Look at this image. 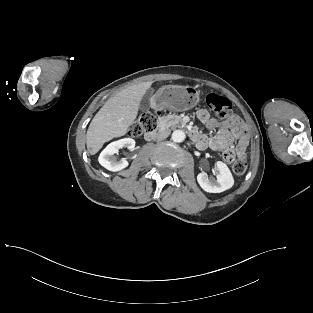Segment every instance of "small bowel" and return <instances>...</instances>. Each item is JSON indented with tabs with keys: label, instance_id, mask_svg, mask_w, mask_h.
<instances>
[{
	"label": "small bowel",
	"instance_id": "small-bowel-1",
	"mask_svg": "<svg viewBox=\"0 0 313 313\" xmlns=\"http://www.w3.org/2000/svg\"><path fill=\"white\" fill-rule=\"evenodd\" d=\"M198 119L210 130H216L215 136H206L197 131L194 142L201 150L211 149L216 152L232 151L234 157L246 156L249 144L247 126L237 115H229L220 121L210 115L206 109L197 112Z\"/></svg>",
	"mask_w": 313,
	"mask_h": 313
}]
</instances>
